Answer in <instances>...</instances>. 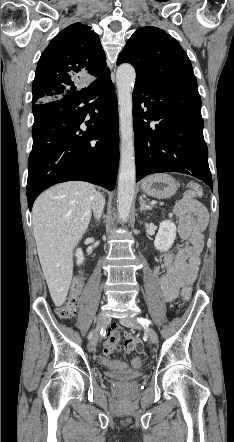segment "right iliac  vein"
<instances>
[{"instance_id": "right-iliac-vein-1", "label": "right iliac vein", "mask_w": 234, "mask_h": 442, "mask_svg": "<svg viewBox=\"0 0 234 442\" xmlns=\"http://www.w3.org/2000/svg\"><path fill=\"white\" fill-rule=\"evenodd\" d=\"M109 323V317L105 313H100L97 318V328L95 332L93 333L92 337L90 338L88 349L90 352H93L96 349L97 342H98V333L101 328H104Z\"/></svg>"}]
</instances>
